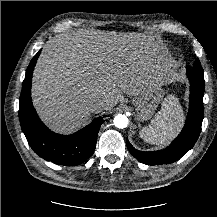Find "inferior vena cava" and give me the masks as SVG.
<instances>
[{"instance_id":"1","label":"inferior vena cava","mask_w":217,"mask_h":217,"mask_svg":"<svg viewBox=\"0 0 217 217\" xmlns=\"http://www.w3.org/2000/svg\"><path fill=\"white\" fill-rule=\"evenodd\" d=\"M106 100H96L89 104V110L92 113H99L105 109Z\"/></svg>"}]
</instances>
